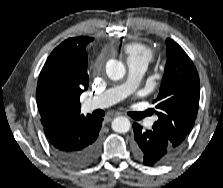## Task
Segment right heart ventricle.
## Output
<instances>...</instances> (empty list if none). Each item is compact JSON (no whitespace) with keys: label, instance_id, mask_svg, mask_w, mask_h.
Wrapping results in <instances>:
<instances>
[{"label":"right heart ventricle","instance_id":"1","mask_svg":"<svg viewBox=\"0 0 223 188\" xmlns=\"http://www.w3.org/2000/svg\"><path fill=\"white\" fill-rule=\"evenodd\" d=\"M124 52L127 55V60H141L150 63L153 59V50L148 46L138 43L129 42L124 46Z\"/></svg>","mask_w":223,"mask_h":188}]
</instances>
